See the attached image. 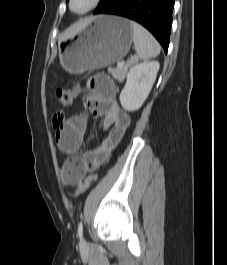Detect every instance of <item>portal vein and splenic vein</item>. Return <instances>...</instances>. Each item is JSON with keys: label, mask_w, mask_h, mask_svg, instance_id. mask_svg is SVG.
Segmentation results:
<instances>
[{"label": "portal vein and splenic vein", "mask_w": 227, "mask_h": 265, "mask_svg": "<svg viewBox=\"0 0 227 265\" xmlns=\"http://www.w3.org/2000/svg\"><path fill=\"white\" fill-rule=\"evenodd\" d=\"M123 65H124V63L121 62V61H119V62L117 63V67H123Z\"/></svg>", "instance_id": "1"}]
</instances>
